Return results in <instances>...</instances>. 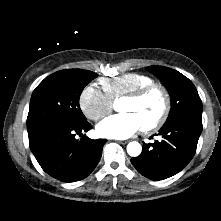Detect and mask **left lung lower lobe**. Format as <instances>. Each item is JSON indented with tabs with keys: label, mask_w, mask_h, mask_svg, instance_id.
Instances as JSON below:
<instances>
[{
	"label": "left lung lower lobe",
	"mask_w": 221,
	"mask_h": 221,
	"mask_svg": "<svg viewBox=\"0 0 221 221\" xmlns=\"http://www.w3.org/2000/svg\"><path fill=\"white\" fill-rule=\"evenodd\" d=\"M202 116L181 115L159 130L162 141L143 144L133 166L151 180H163L181 171L193 158L202 131Z\"/></svg>",
	"instance_id": "1"
}]
</instances>
